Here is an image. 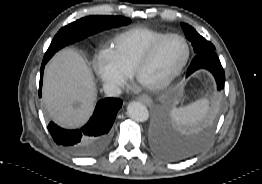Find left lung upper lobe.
Masks as SVG:
<instances>
[{
  "label": "left lung upper lobe",
  "mask_w": 262,
  "mask_h": 184,
  "mask_svg": "<svg viewBox=\"0 0 262 184\" xmlns=\"http://www.w3.org/2000/svg\"><path fill=\"white\" fill-rule=\"evenodd\" d=\"M181 27L185 33L186 38L191 42L194 52L196 54L208 50H214L215 47L212 43L200 36L196 30L186 23H181Z\"/></svg>",
  "instance_id": "5c2ea615"
}]
</instances>
